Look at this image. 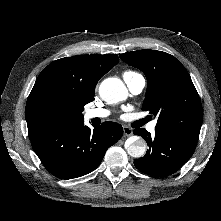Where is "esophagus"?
<instances>
[{
    "label": "esophagus",
    "mask_w": 221,
    "mask_h": 221,
    "mask_svg": "<svg viewBox=\"0 0 221 221\" xmlns=\"http://www.w3.org/2000/svg\"><path fill=\"white\" fill-rule=\"evenodd\" d=\"M123 132L125 136H131L133 134V130L128 126L123 127Z\"/></svg>",
    "instance_id": "esophagus-1"
}]
</instances>
